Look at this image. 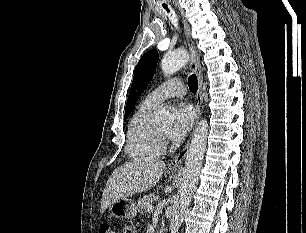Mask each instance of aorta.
Here are the masks:
<instances>
[{
	"label": "aorta",
	"mask_w": 306,
	"mask_h": 233,
	"mask_svg": "<svg viewBox=\"0 0 306 233\" xmlns=\"http://www.w3.org/2000/svg\"><path fill=\"white\" fill-rule=\"evenodd\" d=\"M188 61L189 54L185 50H177L164 55L161 61V69L165 76H170L185 66ZM155 121L160 125L169 123L171 121L170 112L165 108H161L155 114ZM207 137L208 123L206 119H203L198 123L194 131L187 152L179 190L174 198L172 218L169 226L170 233H178L191 202L206 150Z\"/></svg>",
	"instance_id": "obj_1"
}]
</instances>
